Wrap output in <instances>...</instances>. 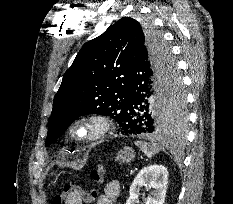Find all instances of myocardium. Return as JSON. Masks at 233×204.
I'll list each match as a JSON object with an SVG mask.
<instances>
[{"mask_svg": "<svg viewBox=\"0 0 233 204\" xmlns=\"http://www.w3.org/2000/svg\"><path fill=\"white\" fill-rule=\"evenodd\" d=\"M81 127H87L91 132L79 137L76 132ZM111 127V120L105 115L90 114L74 119L68 127V135L76 142L90 143L103 138L111 130Z\"/></svg>", "mask_w": 233, "mask_h": 204, "instance_id": "1", "label": "myocardium"}]
</instances>
